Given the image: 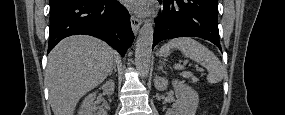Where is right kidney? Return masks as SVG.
I'll use <instances>...</instances> for the list:
<instances>
[{
	"mask_svg": "<svg viewBox=\"0 0 285 115\" xmlns=\"http://www.w3.org/2000/svg\"><path fill=\"white\" fill-rule=\"evenodd\" d=\"M114 82L112 80L107 81L102 86V90L105 94L111 95L114 93ZM96 98V93H90L82 102V105L79 109V115H107L105 110L100 109L94 104V100ZM99 109L98 113L96 111Z\"/></svg>",
	"mask_w": 285,
	"mask_h": 115,
	"instance_id": "right-kidney-1",
	"label": "right kidney"
}]
</instances>
